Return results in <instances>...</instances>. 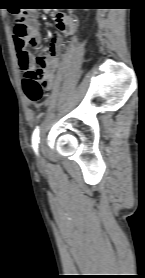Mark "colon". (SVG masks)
Here are the masks:
<instances>
[{"label":"colon","instance_id":"5ec220e1","mask_svg":"<svg viewBox=\"0 0 145 278\" xmlns=\"http://www.w3.org/2000/svg\"><path fill=\"white\" fill-rule=\"evenodd\" d=\"M13 35L17 39V52L20 54L26 49V39L28 37V28L24 18L16 19L13 26ZM34 67L24 73L23 90L27 99L33 104H40L44 98L45 79V59L42 56H36L34 59Z\"/></svg>","mask_w":145,"mask_h":278}]
</instances>
